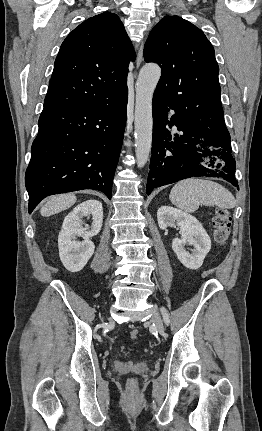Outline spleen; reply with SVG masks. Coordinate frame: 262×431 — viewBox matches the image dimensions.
<instances>
[{
  "label": "spleen",
  "mask_w": 262,
  "mask_h": 431,
  "mask_svg": "<svg viewBox=\"0 0 262 431\" xmlns=\"http://www.w3.org/2000/svg\"><path fill=\"white\" fill-rule=\"evenodd\" d=\"M170 201L185 212H195L201 204L231 209L236 206L232 193L222 185L199 178L181 180L174 185Z\"/></svg>",
  "instance_id": "1"
}]
</instances>
